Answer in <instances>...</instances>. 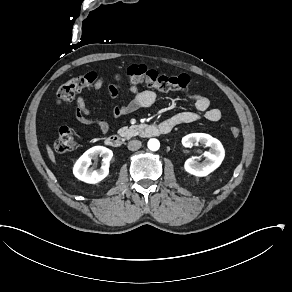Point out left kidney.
Masks as SVG:
<instances>
[{
    "label": "left kidney",
    "mask_w": 292,
    "mask_h": 292,
    "mask_svg": "<svg viewBox=\"0 0 292 292\" xmlns=\"http://www.w3.org/2000/svg\"><path fill=\"white\" fill-rule=\"evenodd\" d=\"M197 143L209 147V152L206 153L207 160L198 163L193 159H189L184 164V170L197 177H205L214 172L222 163L225 157V151L221 142L204 133H193L186 135L182 139V144L185 147H193Z\"/></svg>",
    "instance_id": "1"
}]
</instances>
